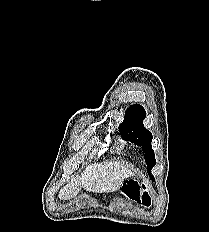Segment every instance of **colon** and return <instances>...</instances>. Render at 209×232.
I'll use <instances>...</instances> for the list:
<instances>
[{"label": "colon", "mask_w": 209, "mask_h": 232, "mask_svg": "<svg viewBox=\"0 0 209 232\" xmlns=\"http://www.w3.org/2000/svg\"><path fill=\"white\" fill-rule=\"evenodd\" d=\"M123 192L130 200L145 207H149L152 203V197L146 183L128 182L124 185Z\"/></svg>", "instance_id": "5ec220e1"}]
</instances>
